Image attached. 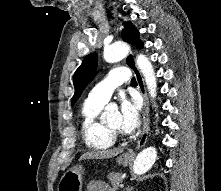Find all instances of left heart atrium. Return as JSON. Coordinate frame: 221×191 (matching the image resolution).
I'll return each mask as SVG.
<instances>
[{
    "mask_svg": "<svg viewBox=\"0 0 221 191\" xmlns=\"http://www.w3.org/2000/svg\"><path fill=\"white\" fill-rule=\"evenodd\" d=\"M139 105L136 99L124 98L121 102L120 128L125 133H133L139 126Z\"/></svg>",
    "mask_w": 221,
    "mask_h": 191,
    "instance_id": "39dd6f15",
    "label": "left heart atrium"
}]
</instances>
